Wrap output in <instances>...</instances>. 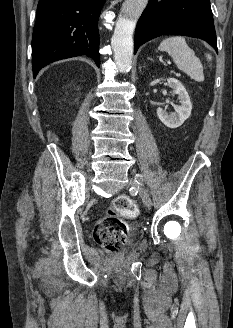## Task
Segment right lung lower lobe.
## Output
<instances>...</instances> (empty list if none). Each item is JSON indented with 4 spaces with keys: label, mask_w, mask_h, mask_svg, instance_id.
<instances>
[{
    "label": "right lung lower lobe",
    "mask_w": 233,
    "mask_h": 328,
    "mask_svg": "<svg viewBox=\"0 0 233 328\" xmlns=\"http://www.w3.org/2000/svg\"><path fill=\"white\" fill-rule=\"evenodd\" d=\"M105 0H40L32 37L34 78L47 64L75 56L99 67L98 18Z\"/></svg>",
    "instance_id": "obj_1"
}]
</instances>
